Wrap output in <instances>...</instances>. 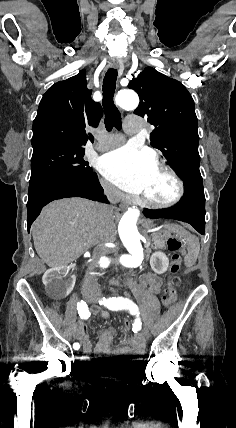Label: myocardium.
<instances>
[{
	"label": "myocardium",
	"mask_w": 236,
	"mask_h": 428,
	"mask_svg": "<svg viewBox=\"0 0 236 428\" xmlns=\"http://www.w3.org/2000/svg\"><path fill=\"white\" fill-rule=\"evenodd\" d=\"M163 170L175 183L176 191L175 194L166 201H158L149 197L141 195L140 200L145 205H148L155 209H169L176 206L182 201L186 193L185 181L181 175L167 162H159L156 164L155 170Z\"/></svg>",
	"instance_id": "myocardium-1"
}]
</instances>
